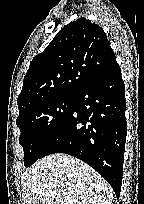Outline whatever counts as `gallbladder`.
I'll return each instance as SVG.
<instances>
[{"label":"gallbladder","instance_id":"bac80fb5","mask_svg":"<svg viewBox=\"0 0 144 204\" xmlns=\"http://www.w3.org/2000/svg\"><path fill=\"white\" fill-rule=\"evenodd\" d=\"M33 204H43L41 200L35 201Z\"/></svg>","mask_w":144,"mask_h":204}]
</instances>
